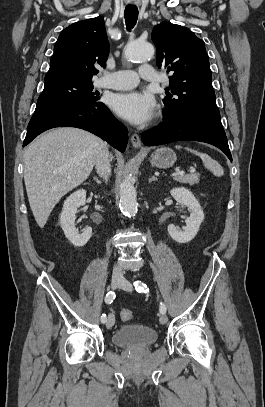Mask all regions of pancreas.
<instances>
[{
	"mask_svg": "<svg viewBox=\"0 0 265 407\" xmlns=\"http://www.w3.org/2000/svg\"><path fill=\"white\" fill-rule=\"evenodd\" d=\"M200 174L199 173H193V174H186V175H180L176 176L174 180L180 183L184 184H189V185H195L199 182Z\"/></svg>",
	"mask_w": 265,
	"mask_h": 407,
	"instance_id": "obj_1",
	"label": "pancreas"
}]
</instances>
